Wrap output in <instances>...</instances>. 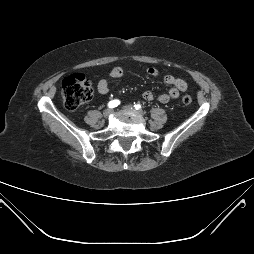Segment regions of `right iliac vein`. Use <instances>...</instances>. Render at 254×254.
Wrapping results in <instances>:
<instances>
[{
  "label": "right iliac vein",
  "mask_w": 254,
  "mask_h": 254,
  "mask_svg": "<svg viewBox=\"0 0 254 254\" xmlns=\"http://www.w3.org/2000/svg\"><path fill=\"white\" fill-rule=\"evenodd\" d=\"M112 113H113V110L108 108V109L104 110L103 115L105 118H108L109 116H111Z\"/></svg>",
  "instance_id": "right-iliac-vein-1"
}]
</instances>
